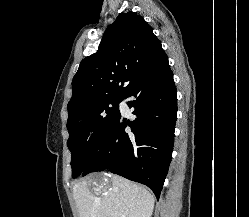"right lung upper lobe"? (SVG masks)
Listing matches in <instances>:
<instances>
[{
  "instance_id": "cb5924a9",
  "label": "right lung upper lobe",
  "mask_w": 249,
  "mask_h": 217,
  "mask_svg": "<svg viewBox=\"0 0 249 217\" xmlns=\"http://www.w3.org/2000/svg\"><path fill=\"white\" fill-rule=\"evenodd\" d=\"M163 53L142 16L120 14L106 29L97 52L81 61L72 81L69 115L99 100L125 97Z\"/></svg>"
}]
</instances>
